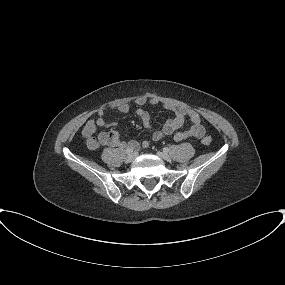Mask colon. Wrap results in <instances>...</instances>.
I'll use <instances>...</instances> for the list:
<instances>
[{
	"instance_id": "1",
	"label": "colon",
	"mask_w": 285,
	"mask_h": 285,
	"mask_svg": "<svg viewBox=\"0 0 285 285\" xmlns=\"http://www.w3.org/2000/svg\"><path fill=\"white\" fill-rule=\"evenodd\" d=\"M203 144H210L211 143V138L209 136H206L202 140Z\"/></svg>"
}]
</instances>
